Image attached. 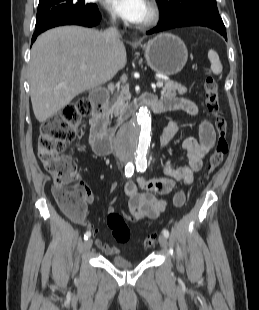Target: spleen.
I'll return each mask as SVG.
<instances>
[{
  "label": "spleen",
  "instance_id": "obj_1",
  "mask_svg": "<svg viewBox=\"0 0 259 310\" xmlns=\"http://www.w3.org/2000/svg\"><path fill=\"white\" fill-rule=\"evenodd\" d=\"M208 59L211 62V70L214 74L218 75L222 72V64L216 51L210 49L208 51Z\"/></svg>",
  "mask_w": 259,
  "mask_h": 310
}]
</instances>
